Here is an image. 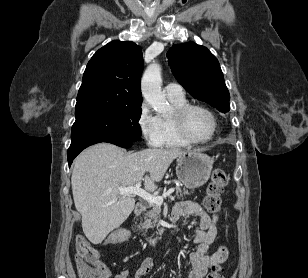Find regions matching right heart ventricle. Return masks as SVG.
Returning <instances> with one entry per match:
<instances>
[{
	"label": "right heart ventricle",
	"instance_id": "right-heart-ventricle-1",
	"mask_svg": "<svg viewBox=\"0 0 308 278\" xmlns=\"http://www.w3.org/2000/svg\"><path fill=\"white\" fill-rule=\"evenodd\" d=\"M174 109L187 103L185 97L183 98H168ZM160 127L162 132V147L167 148H180L189 145L188 142L184 141L176 132L170 116L159 117Z\"/></svg>",
	"mask_w": 308,
	"mask_h": 278
}]
</instances>
